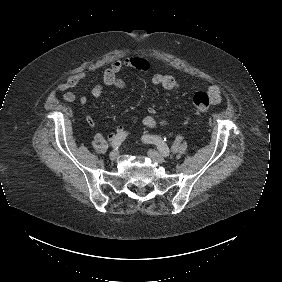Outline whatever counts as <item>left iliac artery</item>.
<instances>
[{
  "label": "left iliac artery",
  "mask_w": 282,
  "mask_h": 282,
  "mask_svg": "<svg viewBox=\"0 0 282 282\" xmlns=\"http://www.w3.org/2000/svg\"><path fill=\"white\" fill-rule=\"evenodd\" d=\"M142 140L145 143H153L157 146L158 150L162 153L163 156H169L170 150L167 144L159 137L153 135H144Z\"/></svg>",
  "instance_id": "obj_1"
}]
</instances>
